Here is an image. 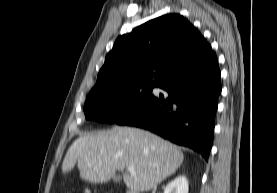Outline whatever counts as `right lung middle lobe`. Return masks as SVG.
I'll list each match as a JSON object with an SVG mask.
<instances>
[{
	"instance_id": "dd1d6c3e",
	"label": "right lung middle lobe",
	"mask_w": 277,
	"mask_h": 193,
	"mask_svg": "<svg viewBox=\"0 0 277 193\" xmlns=\"http://www.w3.org/2000/svg\"><path fill=\"white\" fill-rule=\"evenodd\" d=\"M154 86L135 85L89 93L84 113L87 120L118 123L152 97Z\"/></svg>"
}]
</instances>
